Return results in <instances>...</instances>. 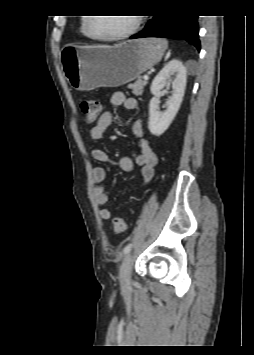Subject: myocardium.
<instances>
[{
    "instance_id": "1",
    "label": "myocardium",
    "mask_w": 254,
    "mask_h": 355,
    "mask_svg": "<svg viewBox=\"0 0 254 355\" xmlns=\"http://www.w3.org/2000/svg\"><path fill=\"white\" fill-rule=\"evenodd\" d=\"M134 16L135 17L133 18L132 26L125 32L115 36H99L95 34L93 30V22L95 20V17H88L86 20L87 34L91 39L100 42H113V41H121L127 39L131 37L133 34H135L141 25V21H142L141 17L139 15H134Z\"/></svg>"
}]
</instances>
